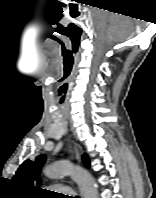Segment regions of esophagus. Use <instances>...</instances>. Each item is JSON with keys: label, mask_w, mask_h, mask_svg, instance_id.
<instances>
[{"label": "esophagus", "mask_w": 156, "mask_h": 198, "mask_svg": "<svg viewBox=\"0 0 156 198\" xmlns=\"http://www.w3.org/2000/svg\"><path fill=\"white\" fill-rule=\"evenodd\" d=\"M76 156H77V159H79V153H78V151H77V153H76Z\"/></svg>", "instance_id": "obj_1"}]
</instances>
